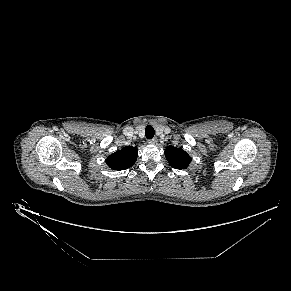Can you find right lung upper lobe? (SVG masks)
<instances>
[{
  "label": "right lung upper lobe",
  "instance_id": "right-lung-upper-lobe-1",
  "mask_svg": "<svg viewBox=\"0 0 291 291\" xmlns=\"http://www.w3.org/2000/svg\"><path fill=\"white\" fill-rule=\"evenodd\" d=\"M137 159V147L126 146L109 155L107 165L113 170H124L131 167Z\"/></svg>",
  "mask_w": 291,
  "mask_h": 291
}]
</instances>
